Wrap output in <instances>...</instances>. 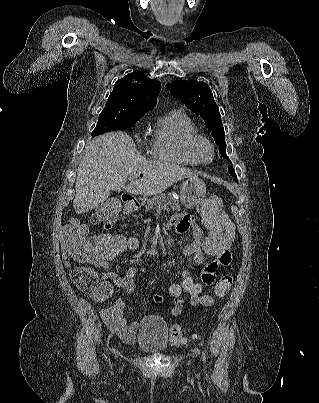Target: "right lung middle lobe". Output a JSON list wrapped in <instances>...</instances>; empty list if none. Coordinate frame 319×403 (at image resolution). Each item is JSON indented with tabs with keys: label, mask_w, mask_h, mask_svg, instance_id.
Instances as JSON below:
<instances>
[{
	"label": "right lung middle lobe",
	"mask_w": 319,
	"mask_h": 403,
	"mask_svg": "<svg viewBox=\"0 0 319 403\" xmlns=\"http://www.w3.org/2000/svg\"><path fill=\"white\" fill-rule=\"evenodd\" d=\"M141 116H143V113L136 112L127 107L106 105L99 115L98 123L92 131V136L131 127Z\"/></svg>",
	"instance_id": "obj_1"
}]
</instances>
